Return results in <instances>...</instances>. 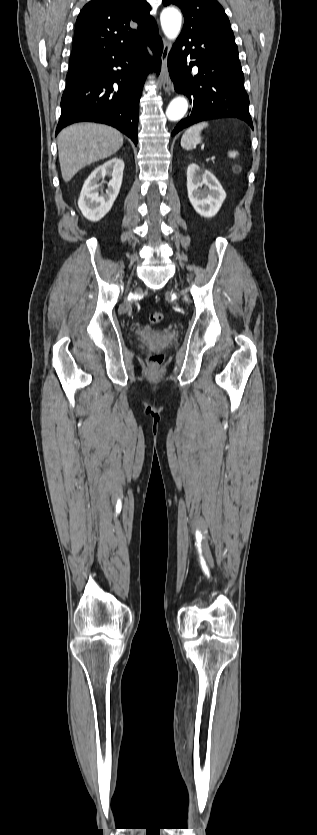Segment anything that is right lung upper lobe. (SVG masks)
Here are the masks:
<instances>
[{"instance_id":"1","label":"right lung upper lobe","mask_w":317,"mask_h":835,"mask_svg":"<svg viewBox=\"0 0 317 835\" xmlns=\"http://www.w3.org/2000/svg\"><path fill=\"white\" fill-rule=\"evenodd\" d=\"M145 0H92L81 10L73 52L116 51L143 39L157 28Z\"/></svg>"}]
</instances>
